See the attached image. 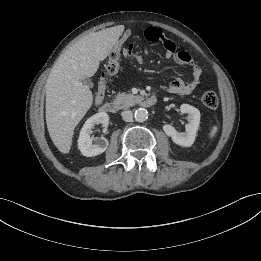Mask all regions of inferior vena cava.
<instances>
[{
    "label": "inferior vena cava",
    "instance_id": "602c4592",
    "mask_svg": "<svg viewBox=\"0 0 261 261\" xmlns=\"http://www.w3.org/2000/svg\"><path fill=\"white\" fill-rule=\"evenodd\" d=\"M121 116H122L123 120L126 122H130L133 120V112L130 110H126V111L122 112Z\"/></svg>",
    "mask_w": 261,
    "mask_h": 261
}]
</instances>
